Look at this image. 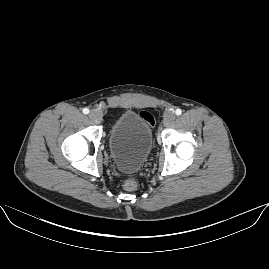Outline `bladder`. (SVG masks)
<instances>
[{"mask_svg":"<svg viewBox=\"0 0 269 269\" xmlns=\"http://www.w3.org/2000/svg\"><path fill=\"white\" fill-rule=\"evenodd\" d=\"M154 144L153 128L149 120L133 111H123L110 126L108 151L121 172L141 169L150 157Z\"/></svg>","mask_w":269,"mask_h":269,"instance_id":"obj_1","label":"bladder"}]
</instances>
